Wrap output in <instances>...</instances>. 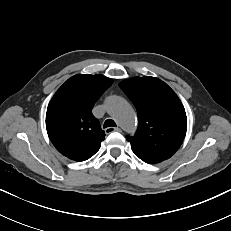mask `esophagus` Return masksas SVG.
Segmentation results:
<instances>
[{
  "mask_svg": "<svg viewBox=\"0 0 231 231\" xmlns=\"http://www.w3.org/2000/svg\"><path fill=\"white\" fill-rule=\"evenodd\" d=\"M120 131H121V129L118 127H108L105 129L106 134H110L112 132H120Z\"/></svg>",
  "mask_w": 231,
  "mask_h": 231,
  "instance_id": "obj_1",
  "label": "esophagus"
}]
</instances>
